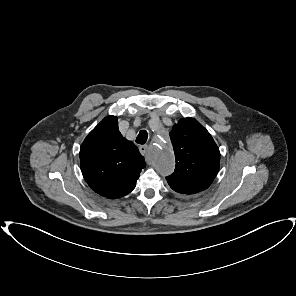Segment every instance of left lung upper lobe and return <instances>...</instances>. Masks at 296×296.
<instances>
[{
    "label": "left lung upper lobe",
    "instance_id": "5c2ea615",
    "mask_svg": "<svg viewBox=\"0 0 296 296\" xmlns=\"http://www.w3.org/2000/svg\"><path fill=\"white\" fill-rule=\"evenodd\" d=\"M170 138L176 158L175 171L166 177L170 187L185 195L207 189L219 171L220 152L210 133L195 119L175 124Z\"/></svg>",
    "mask_w": 296,
    "mask_h": 296
}]
</instances>
